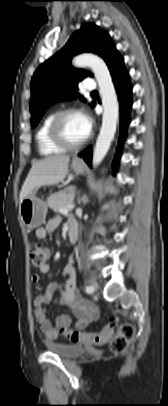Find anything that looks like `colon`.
<instances>
[{"instance_id":"obj_1","label":"colon","mask_w":168,"mask_h":406,"mask_svg":"<svg viewBox=\"0 0 168 406\" xmlns=\"http://www.w3.org/2000/svg\"><path fill=\"white\" fill-rule=\"evenodd\" d=\"M30 258L33 266L42 267L47 264L49 250L40 244H32L30 247ZM60 331L72 343L102 345L110 340V349L115 354L125 351L135 335V328L129 323L122 324L115 335H112L111 325H107L98 333L82 332L68 327H61Z\"/></svg>"}]
</instances>
